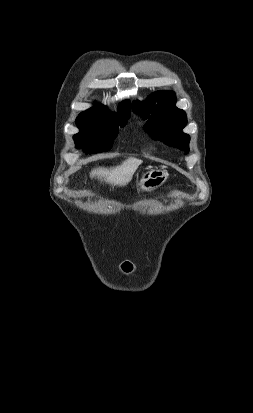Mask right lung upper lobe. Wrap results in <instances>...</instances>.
<instances>
[{
	"instance_id": "right-lung-upper-lobe-1",
	"label": "right lung upper lobe",
	"mask_w": 253,
	"mask_h": 413,
	"mask_svg": "<svg viewBox=\"0 0 253 413\" xmlns=\"http://www.w3.org/2000/svg\"><path fill=\"white\" fill-rule=\"evenodd\" d=\"M121 116H130V103L124 101L120 104L117 113L109 112L108 108L102 104H96L94 107L82 112L76 119L77 124L99 123L108 121Z\"/></svg>"
}]
</instances>
